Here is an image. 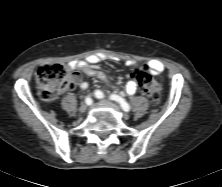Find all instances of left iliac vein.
Returning <instances> with one entry per match:
<instances>
[{"label": "left iliac vein", "instance_id": "4c4485c4", "mask_svg": "<svg viewBox=\"0 0 222 187\" xmlns=\"http://www.w3.org/2000/svg\"><path fill=\"white\" fill-rule=\"evenodd\" d=\"M102 102L103 103H106V104H108V105H111V106H116L112 101H110V100H102Z\"/></svg>", "mask_w": 222, "mask_h": 187}]
</instances>
